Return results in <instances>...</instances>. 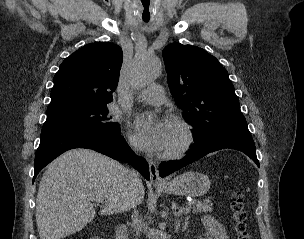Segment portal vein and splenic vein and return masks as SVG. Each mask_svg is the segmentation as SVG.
Returning <instances> with one entry per match:
<instances>
[{
    "label": "portal vein and splenic vein",
    "instance_id": "obj_1",
    "mask_svg": "<svg viewBox=\"0 0 304 239\" xmlns=\"http://www.w3.org/2000/svg\"><path fill=\"white\" fill-rule=\"evenodd\" d=\"M95 201L97 202H102L100 199H95ZM191 210V206H188L187 208H182L180 209L181 212H184V213H189Z\"/></svg>",
    "mask_w": 304,
    "mask_h": 239
}]
</instances>
